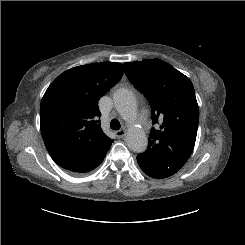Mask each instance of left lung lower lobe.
Instances as JSON below:
<instances>
[{"mask_svg":"<svg viewBox=\"0 0 245 245\" xmlns=\"http://www.w3.org/2000/svg\"><path fill=\"white\" fill-rule=\"evenodd\" d=\"M137 161L148 176L158 179L169 177L181 168L163 157H155L146 153L139 154Z\"/></svg>","mask_w":245,"mask_h":245,"instance_id":"left-lung-lower-lobe-1","label":"left lung lower lobe"}]
</instances>
